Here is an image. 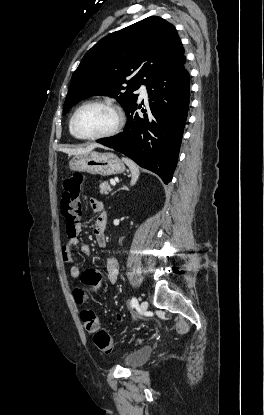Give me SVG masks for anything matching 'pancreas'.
Here are the masks:
<instances>
[{"label":"pancreas","mask_w":264,"mask_h":415,"mask_svg":"<svg viewBox=\"0 0 264 415\" xmlns=\"http://www.w3.org/2000/svg\"><path fill=\"white\" fill-rule=\"evenodd\" d=\"M99 189L101 194H108V192L111 190V187L108 182H101Z\"/></svg>","instance_id":"obj_1"}]
</instances>
